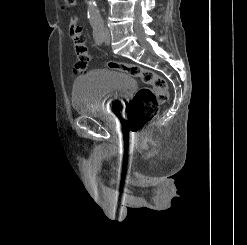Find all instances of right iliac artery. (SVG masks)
<instances>
[{"label": "right iliac artery", "mask_w": 247, "mask_h": 245, "mask_svg": "<svg viewBox=\"0 0 247 245\" xmlns=\"http://www.w3.org/2000/svg\"><path fill=\"white\" fill-rule=\"evenodd\" d=\"M93 37H94L95 42L98 45H101L103 43L104 38H103V27L102 26L94 27V29H93Z\"/></svg>", "instance_id": "1"}]
</instances>
